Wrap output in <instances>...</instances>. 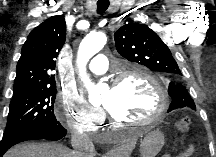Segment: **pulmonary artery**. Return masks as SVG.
<instances>
[{
  "label": "pulmonary artery",
  "instance_id": "1",
  "mask_svg": "<svg viewBox=\"0 0 216 157\" xmlns=\"http://www.w3.org/2000/svg\"><path fill=\"white\" fill-rule=\"evenodd\" d=\"M88 69L95 74H103L108 69V58L104 54H97L87 65Z\"/></svg>",
  "mask_w": 216,
  "mask_h": 157
}]
</instances>
